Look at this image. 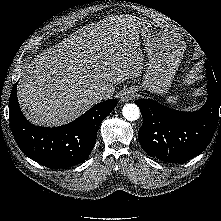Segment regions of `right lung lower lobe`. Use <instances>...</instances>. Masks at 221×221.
<instances>
[{
	"label": "right lung lower lobe",
	"mask_w": 221,
	"mask_h": 221,
	"mask_svg": "<svg viewBox=\"0 0 221 221\" xmlns=\"http://www.w3.org/2000/svg\"><path fill=\"white\" fill-rule=\"evenodd\" d=\"M16 89L17 83L9 100V121L15 141L26 156L50 169L71 167L85 161L95 145L99 125L117 105V100L109 99L66 125L39 127L24 117Z\"/></svg>",
	"instance_id": "obj_1"
}]
</instances>
